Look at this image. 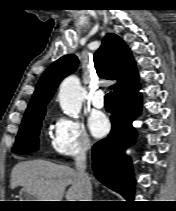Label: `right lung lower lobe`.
<instances>
[{
    "label": "right lung lower lobe",
    "instance_id": "right-lung-lower-lobe-1",
    "mask_svg": "<svg viewBox=\"0 0 176 211\" xmlns=\"http://www.w3.org/2000/svg\"><path fill=\"white\" fill-rule=\"evenodd\" d=\"M139 89L140 86L130 94L114 99L112 130L92 149V167L96 178L128 201L134 198V178L131 160L125 155V149L137 136L132 121L142 108Z\"/></svg>",
    "mask_w": 176,
    "mask_h": 211
}]
</instances>
